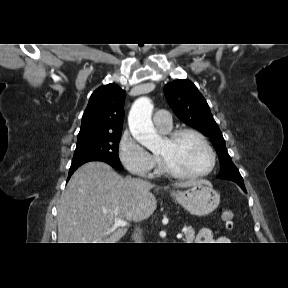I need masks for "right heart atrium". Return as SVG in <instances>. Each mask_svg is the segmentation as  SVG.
I'll list each match as a JSON object with an SVG mask.
<instances>
[{"mask_svg":"<svg viewBox=\"0 0 288 288\" xmlns=\"http://www.w3.org/2000/svg\"><path fill=\"white\" fill-rule=\"evenodd\" d=\"M119 158L132 174L153 177L157 173L158 159L145 150L129 132L123 133L119 141Z\"/></svg>","mask_w":288,"mask_h":288,"instance_id":"d8ad5b80","label":"right heart atrium"}]
</instances>
